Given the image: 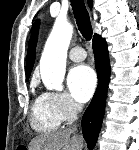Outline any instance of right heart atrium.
<instances>
[{
  "label": "right heart atrium",
  "mask_w": 139,
  "mask_h": 150,
  "mask_svg": "<svg viewBox=\"0 0 139 150\" xmlns=\"http://www.w3.org/2000/svg\"><path fill=\"white\" fill-rule=\"evenodd\" d=\"M47 95L64 122L72 121L81 110L80 105L64 92H51Z\"/></svg>",
  "instance_id": "right-heart-atrium-1"
}]
</instances>
